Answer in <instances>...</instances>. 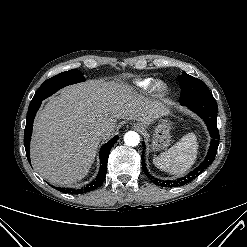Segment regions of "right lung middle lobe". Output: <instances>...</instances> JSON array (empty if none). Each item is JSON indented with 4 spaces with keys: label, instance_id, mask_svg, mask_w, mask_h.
<instances>
[{
    "label": "right lung middle lobe",
    "instance_id": "right-lung-middle-lobe-1",
    "mask_svg": "<svg viewBox=\"0 0 247 247\" xmlns=\"http://www.w3.org/2000/svg\"><path fill=\"white\" fill-rule=\"evenodd\" d=\"M85 81L83 74L79 70H69L62 72L46 80L35 93L30 104H36L51 96L59 89L78 82Z\"/></svg>",
    "mask_w": 247,
    "mask_h": 247
}]
</instances>
